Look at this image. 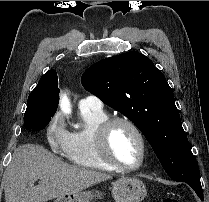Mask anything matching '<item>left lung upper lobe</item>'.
<instances>
[{
    "label": "left lung upper lobe",
    "mask_w": 209,
    "mask_h": 202,
    "mask_svg": "<svg viewBox=\"0 0 209 202\" xmlns=\"http://www.w3.org/2000/svg\"><path fill=\"white\" fill-rule=\"evenodd\" d=\"M81 81L140 129L173 180L200 179L172 89L148 57L130 51L103 59L90 66Z\"/></svg>",
    "instance_id": "5c2ea615"
}]
</instances>
